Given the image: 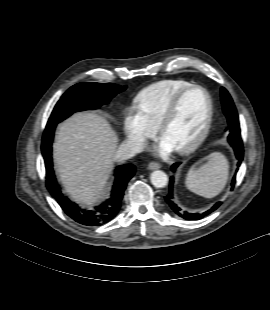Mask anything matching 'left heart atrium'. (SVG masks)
Returning <instances> with one entry per match:
<instances>
[{
	"mask_svg": "<svg viewBox=\"0 0 270 310\" xmlns=\"http://www.w3.org/2000/svg\"><path fill=\"white\" fill-rule=\"evenodd\" d=\"M174 150V148L165 142L163 139L161 140L160 144L156 147V151L158 154L162 156H166L169 153H171Z\"/></svg>",
	"mask_w": 270,
	"mask_h": 310,
	"instance_id": "obj_1",
	"label": "left heart atrium"
}]
</instances>
